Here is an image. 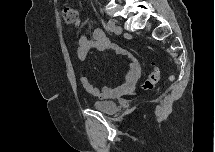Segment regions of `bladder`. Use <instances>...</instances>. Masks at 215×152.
Listing matches in <instances>:
<instances>
[{
    "instance_id": "31cf9c89",
    "label": "bladder",
    "mask_w": 215,
    "mask_h": 152,
    "mask_svg": "<svg viewBox=\"0 0 215 152\" xmlns=\"http://www.w3.org/2000/svg\"><path fill=\"white\" fill-rule=\"evenodd\" d=\"M92 107L106 115H114L118 110V104L110 101H93Z\"/></svg>"
}]
</instances>
